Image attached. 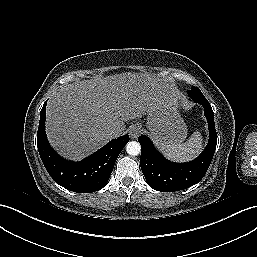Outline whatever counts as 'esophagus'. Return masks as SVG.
Wrapping results in <instances>:
<instances>
[{"label": "esophagus", "instance_id": "esophagus-1", "mask_svg": "<svg viewBox=\"0 0 257 257\" xmlns=\"http://www.w3.org/2000/svg\"><path fill=\"white\" fill-rule=\"evenodd\" d=\"M141 133V127L139 125H133L130 128L129 135L132 139H136Z\"/></svg>", "mask_w": 257, "mask_h": 257}]
</instances>
